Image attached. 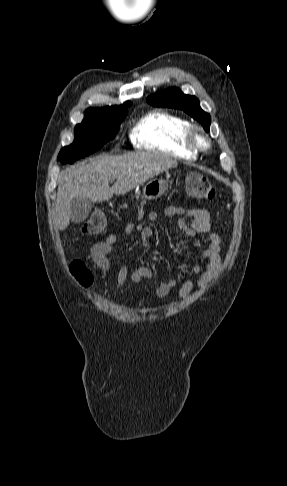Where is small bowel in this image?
<instances>
[{
	"label": "small bowel",
	"mask_w": 287,
	"mask_h": 486,
	"mask_svg": "<svg viewBox=\"0 0 287 486\" xmlns=\"http://www.w3.org/2000/svg\"><path fill=\"white\" fill-rule=\"evenodd\" d=\"M161 217L175 218L176 224L188 237L197 238L206 235L207 245L198 250V260L192 267V277L180 282L177 278L163 280L156 289L158 298L166 297L173 289L178 287L177 297L186 298L195 287L205 288L222 270L221 245L222 238L219 234L210 232L211 217L207 210L198 207L184 209L176 206H168L162 211H151L148 214L150 221H158ZM126 232L137 235L144 247L154 236V230L140 223H130L126 226ZM117 236L108 235L90 249V259L103 272L110 270L109 256L114 252ZM202 261L205 267H202ZM153 272L148 267H139L129 272L128 266L122 264L117 275V285L122 287L130 279L134 283H140L144 279H151Z\"/></svg>",
	"instance_id": "1"
}]
</instances>
